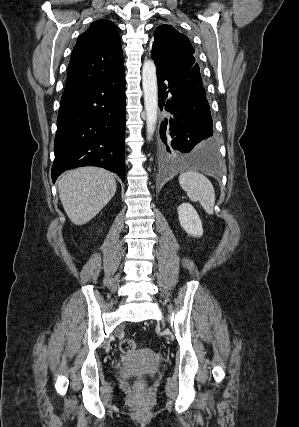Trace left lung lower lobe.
I'll list each match as a JSON object with an SVG mask.
<instances>
[{
	"label": "left lung lower lobe",
	"mask_w": 299,
	"mask_h": 427,
	"mask_svg": "<svg viewBox=\"0 0 299 427\" xmlns=\"http://www.w3.org/2000/svg\"><path fill=\"white\" fill-rule=\"evenodd\" d=\"M157 68L159 107L169 112L160 125V155L207 171L218 169V145L203 86L189 79L194 57L188 53H152Z\"/></svg>",
	"instance_id": "obj_1"
}]
</instances>
